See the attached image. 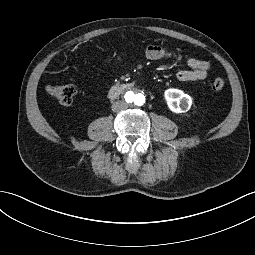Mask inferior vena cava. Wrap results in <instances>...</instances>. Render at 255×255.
<instances>
[{"mask_svg": "<svg viewBox=\"0 0 255 255\" xmlns=\"http://www.w3.org/2000/svg\"><path fill=\"white\" fill-rule=\"evenodd\" d=\"M127 107H128L127 102H125V101H116L112 105V111L113 112H122V111L126 110Z\"/></svg>", "mask_w": 255, "mask_h": 255, "instance_id": "1", "label": "inferior vena cava"}]
</instances>
